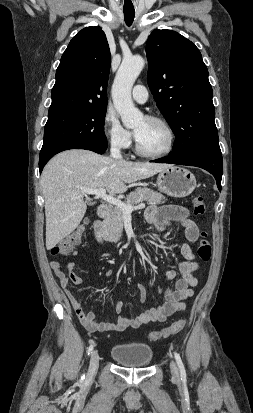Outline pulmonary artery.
Returning <instances> with one entry per match:
<instances>
[{
  "instance_id": "1",
  "label": "pulmonary artery",
  "mask_w": 253,
  "mask_h": 413,
  "mask_svg": "<svg viewBox=\"0 0 253 413\" xmlns=\"http://www.w3.org/2000/svg\"><path fill=\"white\" fill-rule=\"evenodd\" d=\"M133 99L138 103H145L148 100V91L143 85H136L132 91Z\"/></svg>"
}]
</instances>
